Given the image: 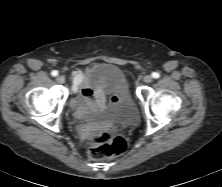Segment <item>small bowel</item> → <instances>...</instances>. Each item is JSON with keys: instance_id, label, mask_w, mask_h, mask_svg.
<instances>
[{"instance_id": "1", "label": "small bowel", "mask_w": 222, "mask_h": 187, "mask_svg": "<svg viewBox=\"0 0 222 187\" xmlns=\"http://www.w3.org/2000/svg\"><path fill=\"white\" fill-rule=\"evenodd\" d=\"M73 77V91L79 92L84 101L92 103L96 102L101 105L105 102L107 92L102 88H92L86 82L81 71L75 70L72 73Z\"/></svg>"}]
</instances>
